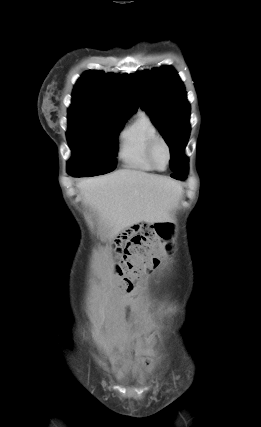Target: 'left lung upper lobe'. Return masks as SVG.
Segmentation results:
<instances>
[{
    "instance_id": "1",
    "label": "left lung upper lobe",
    "mask_w": 261,
    "mask_h": 427,
    "mask_svg": "<svg viewBox=\"0 0 261 427\" xmlns=\"http://www.w3.org/2000/svg\"><path fill=\"white\" fill-rule=\"evenodd\" d=\"M130 79L141 107L168 144L171 169L177 172L186 163L190 133V104L183 83L170 66L130 74Z\"/></svg>"
}]
</instances>
